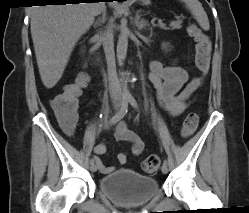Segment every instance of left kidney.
Masks as SVG:
<instances>
[{
  "instance_id": "left-kidney-1",
  "label": "left kidney",
  "mask_w": 249,
  "mask_h": 213,
  "mask_svg": "<svg viewBox=\"0 0 249 213\" xmlns=\"http://www.w3.org/2000/svg\"><path fill=\"white\" fill-rule=\"evenodd\" d=\"M164 49H167V44H163V46H162Z\"/></svg>"
}]
</instances>
